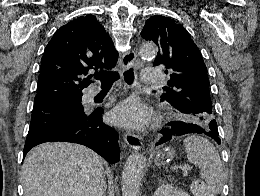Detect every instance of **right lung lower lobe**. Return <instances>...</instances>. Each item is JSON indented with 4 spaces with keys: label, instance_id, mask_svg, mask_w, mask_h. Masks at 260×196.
Listing matches in <instances>:
<instances>
[{
    "label": "right lung lower lobe",
    "instance_id": "1",
    "mask_svg": "<svg viewBox=\"0 0 260 196\" xmlns=\"http://www.w3.org/2000/svg\"><path fill=\"white\" fill-rule=\"evenodd\" d=\"M102 108L89 113L78 122L47 128L28 134L23 151V159L34 146L51 141L73 142L85 145L110 163L119 161L118 134L102 122Z\"/></svg>",
    "mask_w": 260,
    "mask_h": 196
}]
</instances>
